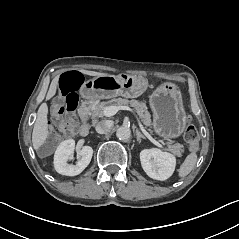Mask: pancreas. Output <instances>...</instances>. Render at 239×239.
<instances>
[{"mask_svg": "<svg viewBox=\"0 0 239 239\" xmlns=\"http://www.w3.org/2000/svg\"><path fill=\"white\" fill-rule=\"evenodd\" d=\"M108 106H132L136 109L138 115L141 117V120L143 123L149 127L151 123V117L148 112V109L146 107V104L140 100L137 99H124V98H113L107 102H93V116L94 117H101L102 116V110L105 107ZM184 146L181 145L180 143H175L172 144L168 151L171 152L175 156H180L181 155V150Z\"/></svg>", "mask_w": 239, "mask_h": 239, "instance_id": "obj_1", "label": "pancreas"}]
</instances>
